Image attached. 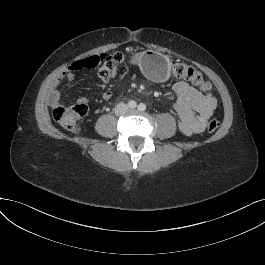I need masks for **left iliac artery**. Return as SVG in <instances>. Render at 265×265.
Segmentation results:
<instances>
[{
	"label": "left iliac artery",
	"mask_w": 265,
	"mask_h": 265,
	"mask_svg": "<svg viewBox=\"0 0 265 265\" xmlns=\"http://www.w3.org/2000/svg\"><path fill=\"white\" fill-rule=\"evenodd\" d=\"M138 110H139V111H145V110H146V105H145L144 103H140V104L138 105Z\"/></svg>",
	"instance_id": "obj_1"
}]
</instances>
